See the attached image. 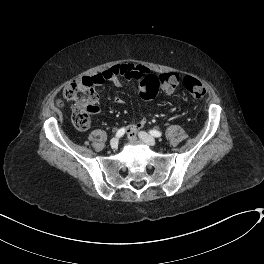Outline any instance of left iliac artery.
<instances>
[{"mask_svg":"<svg viewBox=\"0 0 264 264\" xmlns=\"http://www.w3.org/2000/svg\"><path fill=\"white\" fill-rule=\"evenodd\" d=\"M149 133L154 137H160L162 135V133L158 130H150Z\"/></svg>","mask_w":264,"mask_h":264,"instance_id":"left-iliac-artery-1","label":"left iliac artery"}]
</instances>
